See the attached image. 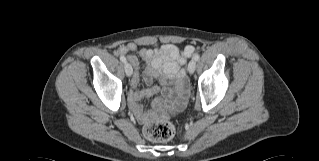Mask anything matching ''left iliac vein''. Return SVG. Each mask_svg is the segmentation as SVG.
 <instances>
[{
	"mask_svg": "<svg viewBox=\"0 0 319 161\" xmlns=\"http://www.w3.org/2000/svg\"><path fill=\"white\" fill-rule=\"evenodd\" d=\"M195 69H196V61H195V60H191V61L189 62V65H188V71H189V73H190V74H193L194 71H195Z\"/></svg>",
	"mask_w": 319,
	"mask_h": 161,
	"instance_id": "obj_1",
	"label": "left iliac vein"
}]
</instances>
